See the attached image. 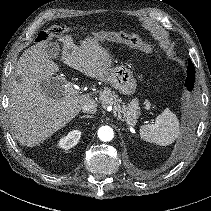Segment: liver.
Returning a JSON list of instances; mask_svg holds the SVG:
<instances>
[{
	"label": "liver",
	"mask_w": 211,
	"mask_h": 211,
	"mask_svg": "<svg viewBox=\"0 0 211 211\" xmlns=\"http://www.w3.org/2000/svg\"><path fill=\"white\" fill-rule=\"evenodd\" d=\"M63 44L62 61L88 77L109 81L112 61L108 50L102 47L96 36H88L81 49L74 44L72 35L59 39ZM46 42L37 43L23 52L11 75L9 118L19 143L33 147L51 137L74 119L84 104L95 102L91 94L67 95L64 83L60 93L48 95L44 85L55 80L52 77L59 66L45 51ZM52 92V87H51Z\"/></svg>",
	"instance_id": "obj_1"
}]
</instances>
